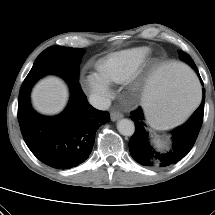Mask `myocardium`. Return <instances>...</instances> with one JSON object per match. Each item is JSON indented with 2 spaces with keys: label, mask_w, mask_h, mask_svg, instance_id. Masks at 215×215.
Masks as SVG:
<instances>
[{
  "label": "myocardium",
  "mask_w": 215,
  "mask_h": 215,
  "mask_svg": "<svg viewBox=\"0 0 215 215\" xmlns=\"http://www.w3.org/2000/svg\"><path fill=\"white\" fill-rule=\"evenodd\" d=\"M141 84H142V80L138 75L133 74L129 78V85L132 90L134 91L138 90L141 87Z\"/></svg>",
  "instance_id": "obj_1"
}]
</instances>
